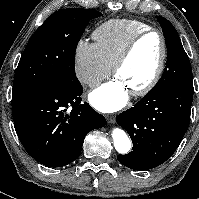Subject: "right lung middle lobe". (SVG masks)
Here are the masks:
<instances>
[{
    "label": "right lung middle lobe",
    "instance_id": "1",
    "mask_svg": "<svg viewBox=\"0 0 199 199\" xmlns=\"http://www.w3.org/2000/svg\"><path fill=\"white\" fill-rule=\"evenodd\" d=\"M102 13L82 8L58 10L36 30L16 69L12 106L52 87H81L75 74V51L88 22Z\"/></svg>",
    "mask_w": 199,
    "mask_h": 199
}]
</instances>
